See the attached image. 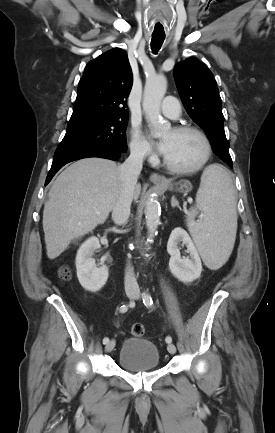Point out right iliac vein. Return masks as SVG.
Masks as SVG:
<instances>
[{"mask_svg": "<svg viewBox=\"0 0 275 433\" xmlns=\"http://www.w3.org/2000/svg\"><path fill=\"white\" fill-rule=\"evenodd\" d=\"M127 296L128 297H133L134 296V293L133 292H127ZM114 347H115V340H110L107 344H106V346H105V352H111L113 349H114Z\"/></svg>", "mask_w": 275, "mask_h": 433, "instance_id": "obj_1", "label": "right iliac vein"}]
</instances>
